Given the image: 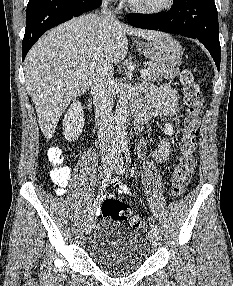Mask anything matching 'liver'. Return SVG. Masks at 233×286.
Instances as JSON below:
<instances>
[{
	"mask_svg": "<svg viewBox=\"0 0 233 286\" xmlns=\"http://www.w3.org/2000/svg\"><path fill=\"white\" fill-rule=\"evenodd\" d=\"M126 34L147 40L163 35L87 14L51 29L32 47L24 62L26 88L45 138L53 137L70 101L90 87L98 64L125 57Z\"/></svg>",
	"mask_w": 233,
	"mask_h": 286,
	"instance_id": "liver-1",
	"label": "liver"
}]
</instances>
